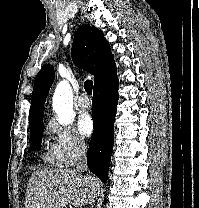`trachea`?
I'll use <instances>...</instances> for the list:
<instances>
[{"label": "trachea", "instance_id": "trachea-1", "mask_svg": "<svg viewBox=\"0 0 199 208\" xmlns=\"http://www.w3.org/2000/svg\"><path fill=\"white\" fill-rule=\"evenodd\" d=\"M84 88L89 95H92L93 82L91 80H86L84 83Z\"/></svg>", "mask_w": 199, "mask_h": 208}]
</instances>
